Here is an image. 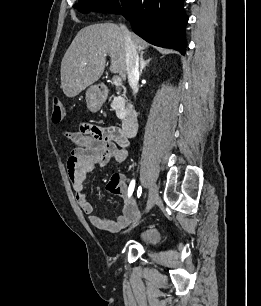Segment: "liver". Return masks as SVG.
<instances>
[{
    "mask_svg": "<svg viewBox=\"0 0 261 306\" xmlns=\"http://www.w3.org/2000/svg\"><path fill=\"white\" fill-rule=\"evenodd\" d=\"M131 39L141 55L148 43L134 33ZM110 71L126 79V51L122 30L113 23H99L81 29L61 62V88L67 97H75L103 74L106 56Z\"/></svg>",
    "mask_w": 261,
    "mask_h": 306,
    "instance_id": "6515ba94",
    "label": "liver"
}]
</instances>
